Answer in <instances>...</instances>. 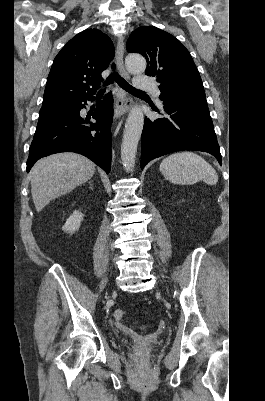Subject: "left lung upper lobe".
Returning <instances> with one entry per match:
<instances>
[{
	"label": "left lung upper lobe",
	"mask_w": 265,
	"mask_h": 401,
	"mask_svg": "<svg viewBox=\"0 0 265 401\" xmlns=\"http://www.w3.org/2000/svg\"><path fill=\"white\" fill-rule=\"evenodd\" d=\"M126 48L146 58L145 74L157 77L160 99L205 98L189 51L173 35L153 26L140 27L131 33Z\"/></svg>",
	"instance_id": "5c2ea615"
}]
</instances>
